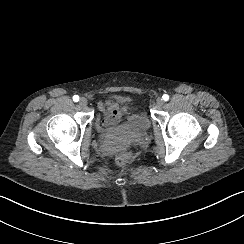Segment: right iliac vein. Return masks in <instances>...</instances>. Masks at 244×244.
Listing matches in <instances>:
<instances>
[{
  "mask_svg": "<svg viewBox=\"0 0 244 244\" xmlns=\"http://www.w3.org/2000/svg\"><path fill=\"white\" fill-rule=\"evenodd\" d=\"M79 104H80V106H82V107L86 106V105H87V99L84 98V97L80 98V100H79Z\"/></svg>",
  "mask_w": 244,
  "mask_h": 244,
  "instance_id": "right-iliac-vein-1",
  "label": "right iliac vein"
}]
</instances>
